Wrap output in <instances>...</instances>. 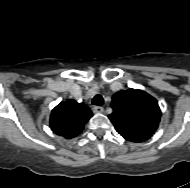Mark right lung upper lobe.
I'll list each match as a JSON object with an SVG mask.
<instances>
[{"instance_id":"obj_1","label":"right lung upper lobe","mask_w":190,"mask_h":188,"mask_svg":"<svg viewBox=\"0 0 190 188\" xmlns=\"http://www.w3.org/2000/svg\"><path fill=\"white\" fill-rule=\"evenodd\" d=\"M91 110L83 103L70 99L60 102L51 112L52 131L66 139L78 136L92 117Z\"/></svg>"}]
</instances>
